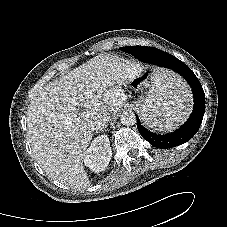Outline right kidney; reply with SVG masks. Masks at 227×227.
Masks as SVG:
<instances>
[{
    "label": "right kidney",
    "mask_w": 227,
    "mask_h": 227,
    "mask_svg": "<svg viewBox=\"0 0 227 227\" xmlns=\"http://www.w3.org/2000/svg\"><path fill=\"white\" fill-rule=\"evenodd\" d=\"M112 157L109 138L107 135L96 137L84 155V164L91 171L98 173L108 166Z\"/></svg>",
    "instance_id": "1"
}]
</instances>
